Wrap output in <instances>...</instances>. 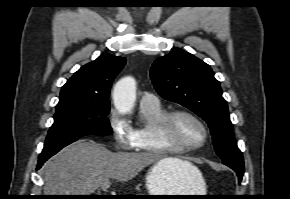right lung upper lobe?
<instances>
[{
	"instance_id": "right-lung-upper-lobe-1",
	"label": "right lung upper lobe",
	"mask_w": 290,
	"mask_h": 199,
	"mask_svg": "<svg viewBox=\"0 0 290 199\" xmlns=\"http://www.w3.org/2000/svg\"><path fill=\"white\" fill-rule=\"evenodd\" d=\"M126 63L124 57L103 53L82 66L62 87L56 108L70 105H106L111 84Z\"/></svg>"
}]
</instances>
